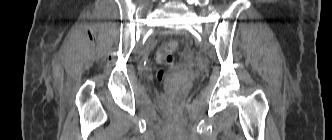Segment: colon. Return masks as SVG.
I'll return each instance as SVG.
<instances>
[{
    "label": "colon",
    "instance_id": "5ec220e1",
    "mask_svg": "<svg viewBox=\"0 0 332 140\" xmlns=\"http://www.w3.org/2000/svg\"><path fill=\"white\" fill-rule=\"evenodd\" d=\"M177 49L176 41H167L163 43L157 50L155 58L157 62L164 65L157 72V79L160 83H163L168 74V68L175 62V51Z\"/></svg>",
    "mask_w": 332,
    "mask_h": 140
}]
</instances>
